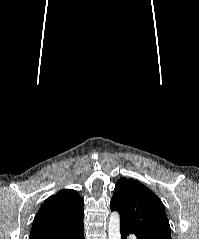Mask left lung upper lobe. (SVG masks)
<instances>
[{
    "instance_id": "1",
    "label": "left lung upper lobe",
    "mask_w": 199,
    "mask_h": 239,
    "mask_svg": "<svg viewBox=\"0 0 199 239\" xmlns=\"http://www.w3.org/2000/svg\"><path fill=\"white\" fill-rule=\"evenodd\" d=\"M110 206L140 239H172L163 203L140 182L119 179Z\"/></svg>"
}]
</instances>
